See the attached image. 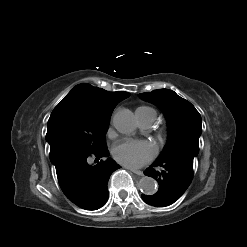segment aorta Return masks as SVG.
Listing matches in <instances>:
<instances>
[{
	"mask_svg": "<svg viewBox=\"0 0 247 247\" xmlns=\"http://www.w3.org/2000/svg\"><path fill=\"white\" fill-rule=\"evenodd\" d=\"M113 125L122 134L129 135L136 129V119L129 109H121L113 116ZM139 189L147 195L157 192V183L151 177H142L138 183Z\"/></svg>",
	"mask_w": 247,
	"mask_h": 247,
	"instance_id": "obj_1",
	"label": "aorta"
}]
</instances>
